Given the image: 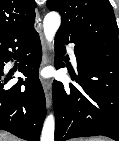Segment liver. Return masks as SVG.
I'll return each instance as SVG.
<instances>
[{"mask_svg":"<svg viewBox=\"0 0 119 141\" xmlns=\"http://www.w3.org/2000/svg\"><path fill=\"white\" fill-rule=\"evenodd\" d=\"M0 141H17V138L9 133L0 131Z\"/></svg>","mask_w":119,"mask_h":141,"instance_id":"6515ba94","label":"liver"}]
</instances>
